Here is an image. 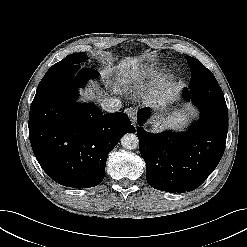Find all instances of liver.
Listing matches in <instances>:
<instances>
[{
    "label": "liver",
    "mask_w": 247,
    "mask_h": 247,
    "mask_svg": "<svg viewBox=\"0 0 247 247\" xmlns=\"http://www.w3.org/2000/svg\"><path fill=\"white\" fill-rule=\"evenodd\" d=\"M139 57H127L124 59L118 66V79L117 84L114 86V93L120 91V87H126L127 83L130 79H137L139 75ZM177 89L171 91L168 90L167 92H162L158 90H153L150 92V95L144 96L146 99V103L152 104L153 106H164L168 101H170L176 94ZM83 100H94L97 99L98 101H102L103 95L99 92L94 93V90L89 89L88 91L82 94Z\"/></svg>",
    "instance_id": "1"
}]
</instances>
